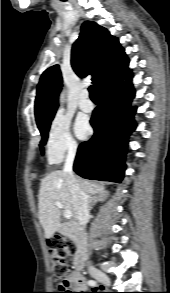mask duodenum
Segmentation results:
<instances>
[{
  "instance_id": "duodenum-1",
  "label": "duodenum",
  "mask_w": 170,
  "mask_h": 293,
  "mask_svg": "<svg viewBox=\"0 0 170 293\" xmlns=\"http://www.w3.org/2000/svg\"><path fill=\"white\" fill-rule=\"evenodd\" d=\"M56 233L61 235H72L77 238L79 249L74 258V267L76 270L82 269L84 261L86 259L87 232L80 228L77 222L71 221L69 223L57 226Z\"/></svg>"
}]
</instances>
